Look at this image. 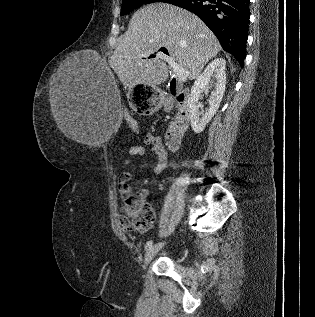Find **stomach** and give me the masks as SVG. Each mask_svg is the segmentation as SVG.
Listing matches in <instances>:
<instances>
[{
  "label": "stomach",
  "instance_id": "obj_1",
  "mask_svg": "<svg viewBox=\"0 0 315 317\" xmlns=\"http://www.w3.org/2000/svg\"><path fill=\"white\" fill-rule=\"evenodd\" d=\"M155 84H132L130 98L134 114H157L158 97Z\"/></svg>",
  "mask_w": 315,
  "mask_h": 317
}]
</instances>
